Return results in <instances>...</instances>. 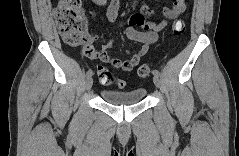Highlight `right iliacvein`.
Returning <instances> with one entry per match:
<instances>
[{
  "mask_svg": "<svg viewBox=\"0 0 239 156\" xmlns=\"http://www.w3.org/2000/svg\"><path fill=\"white\" fill-rule=\"evenodd\" d=\"M92 85H93V79L92 77H88L85 84L86 90L89 91L92 88Z\"/></svg>",
  "mask_w": 239,
  "mask_h": 156,
  "instance_id": "1",
  "label": "right iliac vein"
}]
</instances>
